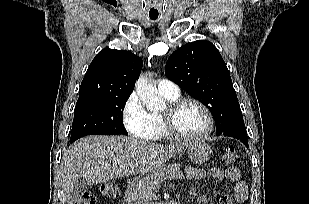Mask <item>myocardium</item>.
Wrapping results in <instances>:
<instances>
[{
    "instance_id": "1",
    "label": "myocardium",
    "mask_w": 309,
    "mask_h": 204,
    "mask_svg": "<svg viewBox=\"0 0 309 204\" xmlns=\"http://www.w3.org/2000/svg\"><path fill=\"white\" fill-rule=\"evenodd\" d=\"M188 103L199 106L203 110L207 118V129L197 136H190L181 133L180 131H178L175 124V117L177 112ZM162 121L168 136L174 140H183L187 142L201 141L203 139H206L214 130V118L210 109L200 100L191 97L180 98L170 102L166 110L162 114Z\"/></svg>"
}]
</instances>
